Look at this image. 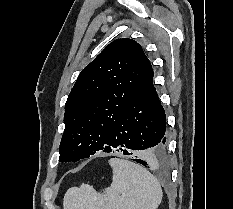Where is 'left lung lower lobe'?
<instances>
[{
    "label": "left lung lower lobe",
    "mask_w": 233,
    "mask_h": 209,
    "mask_svg": "<svg viewBox=\"0 0 233 209\" xmlns=\"http://www.w3.org/2000/svg\"><path fill=\"white\" fill-rule=\"evenodd\" d=\"M165 131L166 116L153 85L151 67L113 124L103 151L114 152L118 148L125 155H132L128 149L145 150L144 160H133L145 167L159 166L165 162Z\"/></svg>",
    "instance_id": "obj_1"
}]
</instances>
